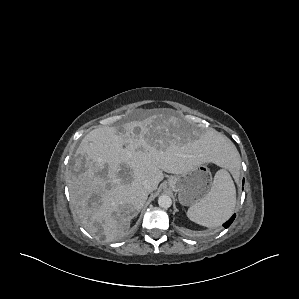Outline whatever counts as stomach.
<instances>
[{
    "mask_svg": "<svg viewBox=\"0 0 299 299\" xmlns=\"http://www.w3.org/2000/svg\"><path fill=\"white\" fill-rule=\"evenodd\" d=\"M168 186L178 194L181 205L192 206L206 197L212 188V175L206 164L169 177Z\"/></svg>",
    "mask_w": 299,
    "mask_h": 299,
    "instance_id": "0dacf381",
    "label": "stomach"
}]
</instances>
